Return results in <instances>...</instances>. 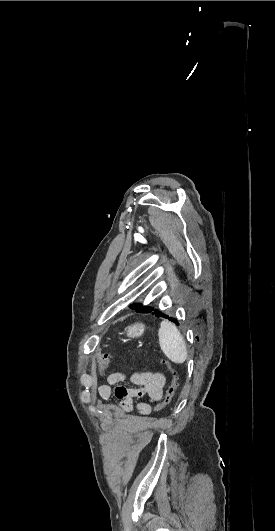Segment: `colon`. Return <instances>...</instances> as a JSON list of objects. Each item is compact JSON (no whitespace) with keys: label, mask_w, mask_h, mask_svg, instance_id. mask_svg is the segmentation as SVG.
Segmentation results:
<instances>
[{"label":"colon","mask_w":275,"mask_h":531,"mask_svg":"<svg viewBox=\"0 0 275 531\" xmlns=\"http://www.w3.org/2000/svg\"><path fill=\"white\" fill-rule=\"evenodd\" d=\"M110 353L107 350L102 351L100 357L97 360V370L100 375H104L106 372V369L108 367V364L110 362ZM161 364L163 366H168L170 374L172 376V381L168 385L165 395L160 398V400L157 402L155 407L156 415L162 414L167 406L170 405V403L174 400V395L178 388V376L175 369L171 368L170 365L165 361L162 360Z\"/></svg>","instance_id":"obj_1"}]
</instances>
